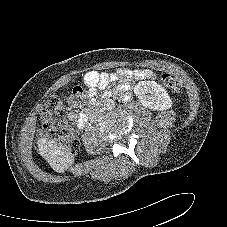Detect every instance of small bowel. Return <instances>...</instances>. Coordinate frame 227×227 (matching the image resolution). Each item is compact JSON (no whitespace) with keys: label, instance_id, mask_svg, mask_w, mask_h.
Wrapping results in <instances>:
<instances>
[{"label":"small bowel","instance_id":"1","mask_svg":"<svg viewBox=\"0 0 227 227\" xmlns=\"http://www.w3.org/2000/svg\"><path fill=\"white\" fill-rule=\"evenodd\" d=\"M155 74L148 69H118L114 73H100L95 70H90L84 74V83L87 86V97L93 98L96 96L98 89L105 88L108 84L114 81H119L118 89L122 92H128L131 89L129 80L151 79Z\"/></svg>","mask_w":227,"mask_h":227}]
</instances>
